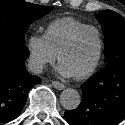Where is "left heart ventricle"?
I'll return each mask as SVG.
<instances>
[{
	"label": "left heart ventricle",
	"instance_id": "1",
	"mask_svg": "<svg viewBox=\"0 0 125 125\" xmlns=\"http://www.w3.org/2000/svg\"><path fill=\"white\" fill-rule=\"evenodd\" d=\"M99 48V40L95 31L83 32L73 46L63 54L61 63L72 75L86 71L93 63Z\"/></svg>",
	"mask_w": 125,
	"mask_h": 125
}]
</instances>
